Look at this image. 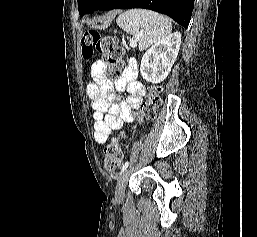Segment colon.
<instances>
[{
    "mask_svg": "<svg viewBox=\"0 0 257 237\" xmlns=\"http://www.w3.org/2000/svg\"><path fill=\"white\" fill-rule=\"evenodd\" d=\"M82 55L90 59L94 52L102 55L103 60L109 65L108 75L116 78L123 66L124 48L118 45L114 36H106L97 30H89L82 41ZM160 87H152L146 102L140 107L139 122L151 120L155 117L156 109L161 104ZM123 152L117 139H114L105 151L104 168L108 172H115L121 165Z\"/></svg>",
    "mask_w": 257,
    "mask_h": 237,
    "instance_id": "5ec220e1",
    "label": "colon"
}]
</instances>
